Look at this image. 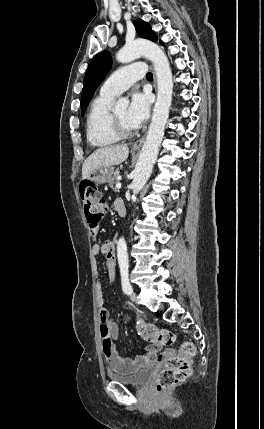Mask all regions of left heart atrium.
Returning <instances> with one entry per match:
<instances>
[{"label":"left heart atrium","mask_w":264,"mask_h":429,"mask_svg":"<svg viewBox=\"0 0 264 429\" xmlns=\"http://www.w3.org/2000/svg\"><path fill=\"white\" fill-rule=\"evenodd\" d=\"M150 105L151 99L147 93L136 92L132 95L127 109V119L134 129L140 127L147 120Z\"/></svg>","instance_id":"left-heart-atrium-1"}]
</instances>
